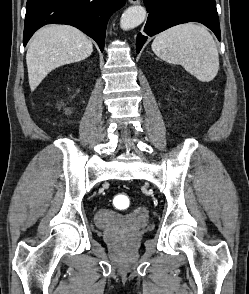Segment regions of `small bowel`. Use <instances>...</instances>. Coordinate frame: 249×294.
<instances>
[{"instance_id":"1","label":"small bowel","mask_w":249,"mask_h":294,"mask_svg":"<svg viewBox=\"0 0 249 294\" xmlns=\"http://www.w3.org/2000/svg\"><path fill=\"white\" fill-rule=\"evenodd\" d=\"M101 215L106 216V215H111V213L106 209H102L101 210ZM137 217L141 218V217H143V215H140V216H137Z\"/></svg>"}]
</instances>
